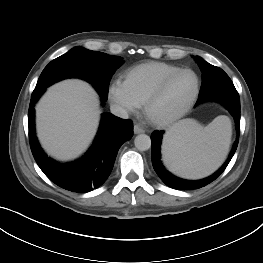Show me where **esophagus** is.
Returning a JSON list of instances; mask_svg holds the SVG:
<instances>
[{
  "label": "esophagus",
  "instance_id": "esophagus-1",
  "mask_svg": "<svg viewBox=\"0 0 263 263\" xmlns=\"http://www.w3.org/2000/svg\"><path fill=\"white\" fill-rule=\"evenodd\" d=\"M144 132H145V130L143 127H141L138 124L134 125V133L135 134H140V133H144Z\"/></svg>",
  "mask_w": 263,
  "mask_h": 263
}]
</instances>
